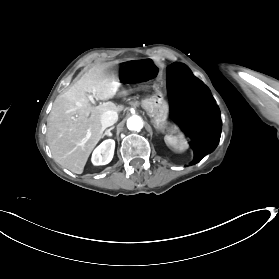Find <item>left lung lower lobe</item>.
Segmentation results:
<instances>
[{"label":"left lung lower lobe","mask_w":279,"mask_h":279,"mask_svg":"<svg viewBox=\"0 0 279 279\" xmlns=\"http://www.w3.org/2000/svg\"><path fill=\"white\" fill-rule=\"evenodd\" d=\"M166 80L171 107L194 134V159L190 165L196 164L219 143L222 123L218 106L208 88L186 65H169Z\"/></svg>","instance_id":"left-lung-lower-lobe-1"}]
</instances>
